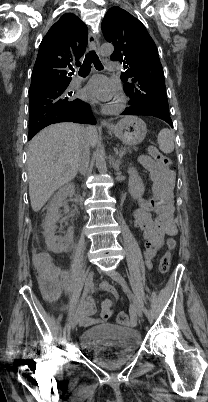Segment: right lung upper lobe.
<instances>
[{"label":"right lung upper lobe","instance_id":"obj_1","mask_svg":"<svg viewBox=\"0 0 208 402\" xmlns=\"http://www.w3.org/2000/svg\"><path fill=\"white\" fill-rule=\"evenodd\" d=\"M87 26L75 14L66 13L43 38L33 68L30 89L46 82L71 79L68 69L80 65L87 46Z\"/></svg>","mask_w":208,"mask_h":402}]
</instances>
